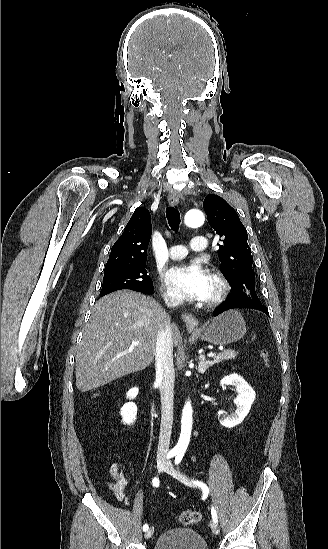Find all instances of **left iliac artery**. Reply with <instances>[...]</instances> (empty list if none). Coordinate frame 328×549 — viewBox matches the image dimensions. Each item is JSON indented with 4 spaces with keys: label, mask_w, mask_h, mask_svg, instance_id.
I'll use <instances>...</instances> for the list:
<instances>
[{
    "label": "left iliac artery",
    "mask_w": 328,
    "mask_h": 549,
    "mask_svg": "<svg viewBox=\"0 0 328 549\" xmlns=\"http://www.w3.org/2000/svg\"><path fill=\"white\" fill-rule=\"evenodd\" d=\"M182 457L183 456H176L175 458V464L178 465L181 460H182ZM194 484L198 485L199 487H201V489L203 490L204 493H209V489L207 487V485L203 482H199V481H193ZM211 513H212V518L214 520V522H217V513H216V510L214 509V507H212L211 509Z\"/></svg>",
    "instance_id": "left-iliac-artery-1"
}]
</instances>
